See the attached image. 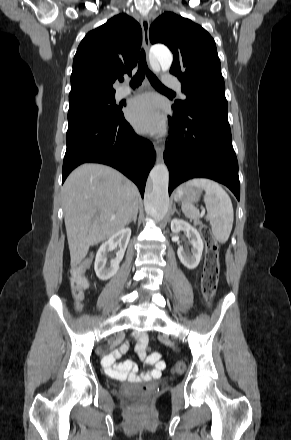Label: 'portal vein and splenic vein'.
<instances>
[{
    "mask_svg": "<svg viewBox=\"0 0 291 440\" xmlns=\"http://www.w3.org/2000/svg\"><path fill=\"white\" fill-rule=\"evenodd\" d=\"M204 215V210L202 211V213H201V216H203Z\"/></svg>",
    "mask_w": 291,
    "mask_h": 440,
    "instance_id": "18ae733b",
    "label": "portal vein and splenic vein"
}]
</instances>
